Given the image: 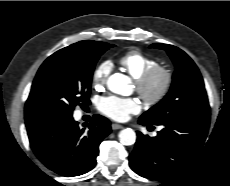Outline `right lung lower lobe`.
<instances>
[{
  "label": "right lung lower lobe",
  "instance_id": "obj_1",
  "mask_svg": "<svg viewBox=\"0 0 230 186\" xmlns=\"http://www.w3.org/2000/svg\"><path fill=\"white\" fill-rule=\"evenodd\" d=\"M31 148L39 160L57 174L82 175L96 165L99 144L111 132L110 121L95 115L88 130L72 116H41L26 121Z\"/></svg>",
  "mask_w": 230,
  "mask_h": 186
}]
</instances>
